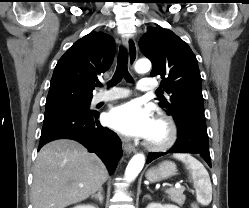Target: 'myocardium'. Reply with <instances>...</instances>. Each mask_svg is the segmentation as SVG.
I'll list each match as a JSON object with an SVG mask.
<instances>
[{
	"label": "myocardium",
	"mask_w": 249,
	"mask_h": 208,
	"mask_svg": "<svg viewBox=\"0 0 249 208\" xmlns=\"http://www.w3.org/2000/svg\"><path fill=\"white\" fill-rule=\"evenodd\" d=\"M162 126L165 131L163 139L159 141L151 140L147 142V147L152 150H164L171 147L177 139V127L172 118L166 115H159L155 121Z\"/></svg>",
	"instance_id": "obj_1"
}]
</instances>
